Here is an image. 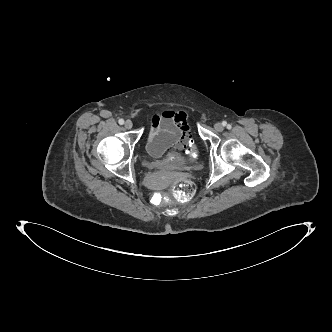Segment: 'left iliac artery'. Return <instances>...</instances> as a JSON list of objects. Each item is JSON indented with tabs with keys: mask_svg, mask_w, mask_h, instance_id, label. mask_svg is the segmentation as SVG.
<instances>
[{
	"mask_svg": "<svg viewBox=\"0 0 332 332\" xmlns=\"http://www.w3.org/2000/svg\"><path fill=\"white\" fill-rule=\"evenodd\" d=\"M223 125H224V126H226V125H227V123H226V122H223ZM228 127H229V125H228Z\"/></svg>",
	"mask_w": 332,
	"mask_h": 332,
	"instance_id": "obj_1",
	"label": "left iliac artery"
}]
</instances>
